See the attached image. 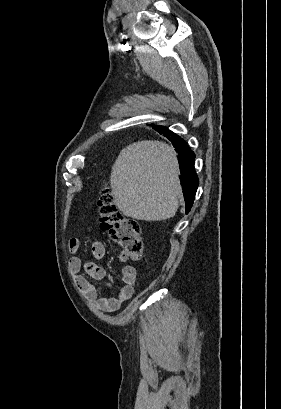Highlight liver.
Wrapping results in <instances>:
<instances>
[{"instance_id":"1","label":"liver","mask_w":281,"mask_h":409,"mask_svg":"<svg viewBox=\"0 0 281 409\" xmlns=\"http://www.w3.org/2000/svg\"><path fill=\"white\" fill-rule=\"evenodd\" d=\"M175 150L159 140L128 144L111 172L116 207L138 221H165L175 217L182 188Z\"/></svg>"}]
</instances>
